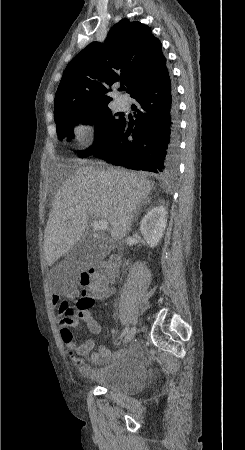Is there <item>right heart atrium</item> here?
<instances>
[{
  "label": "right heart atrium",
  "instance_id": "d8ad5b80",
  "mask_svg": "<svg viewBox=\"0 0 245 450\" xmlns=\"http://www.w3.org/2000/svg\"><path fill=\"white\" fill-rule=\"evenodd\" d=\"M90 133H91L90 128L85 124H78L75 127L76 137L81 142H87L90 137Z\"/></svg>",
  "mask_w": 245,
  "mask_h": 450
}]
</instances>
